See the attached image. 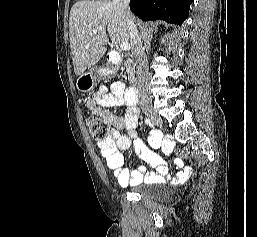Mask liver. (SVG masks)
Returning a JSON list of instances; mask_svg holds the SVG:
<instances>
[{
    "instance_id": "liver-1",
    "label": "liver",
    "mask_w": 257,
    "mask_h": 237,
    "mask_svg": "<svg viewBox=\"0 0 257 237\" xmlns=\"http://www.w3.org/2000/svg\"><path fill=\"white\" fill-rule=\"evenodd\" d=\"M133 21L135 18L130 14ZM97 30V34H92ZM69 37L74 72L77 76L95 65L110 41L131 42L124 11L113 2H76L69 17Z\"/></svg>"
}]
</instances>
